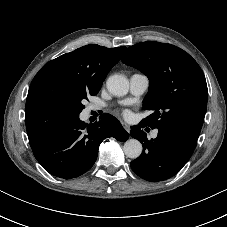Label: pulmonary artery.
I'll list each match as a JSON object with an SVG mask.
<instances>
[{"label":"pulmonary artery","instance_id":"1","mask_svg":"<svg viewBox=\"0 0 227 227\" xmlns=\"http://www.w3.org/2000/svg\"><path fill=\"white\" fill-rule=\"evenodd\" d=\"M149 87V79L146 75L141 73H135L131 75L129 79V88L130 92L134 96H141L146 92ZM93 109H97V107H93ZM157 132L153 133V136H156Z\"/></svg>","mask_w":227,"mask_h":227}]
</instances>
